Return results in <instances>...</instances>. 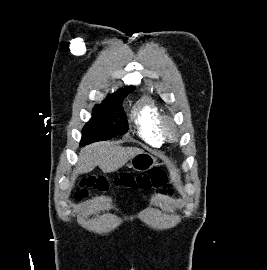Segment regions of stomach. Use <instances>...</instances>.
Masks as SVG:
<instances>
[{
  "label": "stomach",
  "instance_id": "stomach-1",
  "mask_svg": "<svg viewBox=\"0 0 267 270\" xmlns=\"http://www.w3.org/2000/svg\"><path fill=\"white\" fill-rule=\"evenodd\" d=\"M156 165H158L157 159L153 155L141 152L130 160L128 166L135 171L144 172L150 170Z\"/></svg>",
  "mask_w": 267,
  "mask_h": 270
}]
</instances>
